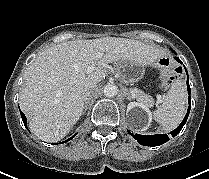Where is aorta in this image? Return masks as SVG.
<instances>
[{
	"label": "aorta",
	"instance_id": "1",
	"mask_svg": "<svg viewBox=\"0 0 209 179\" xmlns=\"http://www.w3.org/2000/svg\"><path fill=\"white\" fill-rule=\"evenodd\" d=\"M118 93V87L115 84L108 83L104 87V94L106 97L116 96Z\"/></svg>",
	"mask_w": 209,
	"mask_h": 179
}]
</instances>
